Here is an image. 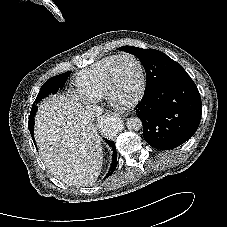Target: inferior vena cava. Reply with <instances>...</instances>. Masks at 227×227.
I'll return each instance as SVG.
<instances>
[{
    "label": "inferior vena cava",
    "instance_id": "1",
    "mask_svg": "<svg viewBox=\"0 0 227 227\" xmlns=\"http://www.w3.org/2000/svg\"><path fill=\"white\" fill-rule=\"evenodd\" d=\"M85 114L91 118L94 119L96 117H99L102 114V109L99 106H89L85 110Z\"/></svg>",
    "mask_w": 227,
    "mask_h": 227
}]
</instances>
